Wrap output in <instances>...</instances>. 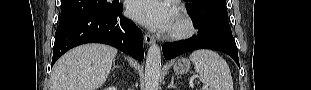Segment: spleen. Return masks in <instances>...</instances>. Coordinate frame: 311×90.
Returning <instances> with one entry per match:
<instances>
[{
    "mask_svg": "<svg viewBox=\"0 0 311 90\" xmlns=\"http://www.w3.org/2000/svg\"><path fill=\"white\" fill-rule=\"evenodd\" d=\"M199 80L209 90H233V80L226 61L211 50H196L190 55Z\"/></svg>",
    "mask_w": 311,
    "mask_h": 90,
    "instance_id": "spleen-1",
    "label": "spleen"
}]
</instances>
